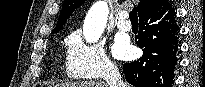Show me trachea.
Listing matches in <instances>:
<instances>
[{"instance_id": "obj_1", "label": "trachea", "mask_w": 205, "mask_h": 87, "mask_svg": "<svg viewBox=\"0 0 205 87\" xmlns=\"http://www.w3.org/2000/svg\"><path fill=\"white\" fill-rule=\"evenodd\" d=\"M129 18L131 22H138L136 7H133L132 11L129 13Z\"/></svg>"}]
</instances>
